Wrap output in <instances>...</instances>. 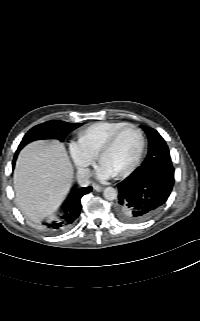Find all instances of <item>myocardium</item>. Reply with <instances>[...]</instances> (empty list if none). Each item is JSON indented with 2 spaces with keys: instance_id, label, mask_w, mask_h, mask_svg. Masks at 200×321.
I'll list each match as a JSON object with an SVG mask.
<instances>
[{
  "instance_id": "obj_1",
  "label": "myocardium",
  "mask_w": 200,
  "mask_h": 321,
  "mask_svg": "<svg viewBox=\"0 0 200 321\" xmlns=\"http://www.w3.org/2000/svg\"><path fill=\"white\" fill-rule=\"evenodd\" d=\"M128 129H134L137 131V133L139 134V138H140V146H139L138 152H137L133 162L130 164V166L126 170L121 172L120 174L114 175L116 178H119V179L129 176L136 169V167L138 166V164L142 158V155L145 150V145H146V140H145V135H144L143 130L135 124H127V125L121 127L120 129L115 131L107 139V141L102 145V147L100 148V150L97 154V158H98L99 162H101L103 155L106 152H108L115 145V143L117 142L119 137Z\"/></svg>"
}]
</instances>
